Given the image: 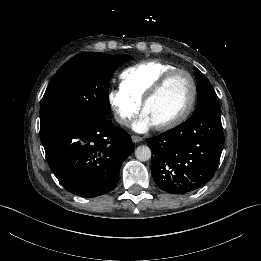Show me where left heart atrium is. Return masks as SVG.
<instances>
[{
    "instance_id": "obj_1",
    "label": "left heart atrium",
    "mask_w": 261,
    "mask_h": 261,
    "mask_svg": "<svg viewBox=\"0 0 261 261\" xmlns=\"http://www.w3.org/2000/svg\"><path fill=\"white\" fill-rule=\"evenodd\" d=\"M154 125L146 113H142L140 118L134 123L133 128L137 132H145Z\"/></svg>"
}]
</instances>
